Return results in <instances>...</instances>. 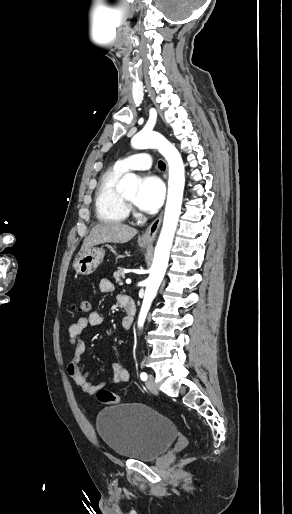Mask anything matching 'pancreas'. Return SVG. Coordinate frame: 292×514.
<instances>
[{
	"label": "pancreas",
	"mask_w": 292,
	"mask_h": 514,
	"mask_svg": "<svg viewBox=\"0 0 292 514\" xmlns=\"http://www.w3.org/2000/svg\"><path fill=\"white\" fill-rule=\"evenodd\" d=\"M124 270L125 268H118L117 272H114L116 284H119V286H123V280L125 278Z\"/></svg>",
	"instance_id": "pancreas-1"
}]
</instances>
